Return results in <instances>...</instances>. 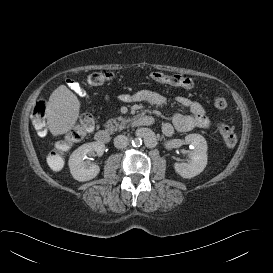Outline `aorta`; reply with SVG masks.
<instances>
[{
  "label": "aorta",
  "instance_id": "obj_1",
  "mask_svg": "<svg viewBox=\"0 0 273 273\" xmlns=\"http://www.w3.org/2000/svg\"><path fill=\"white\" fill-rule=\"evenodd\" d=\"M132 145H133L134 147H138V146L142 145V140H141V138H135V139L132 141Z\"/></svg>",
  "mask_w": 273,
  "mask_h": 273
}]
</instances>
